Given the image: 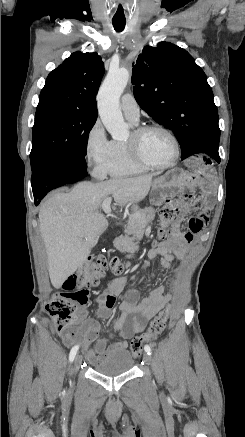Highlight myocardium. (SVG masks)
<instances>
[{"instance_id": "f54148a6", "label": "myocardium", "mask_w": 245, "mask_h": 437, "mask_svg": "<svg viewBox=\"0 0 245 437\" xmlns=\"http://www.w3.org/2000/svg\"><path fill=\"white\" fill-rule=\"evenodd\" d=\"M150 130H159L163 132L168 138L171 140L174 147V155L173 158L165 164H155L145 160L139 152L138 148V140L139 138L146 132ZM127 151L131 159L137 164L146 167L148 169H167L176 164L180 157V144L177 137L174 133L169 130L167 127L160 124H145L140 125L133 129L131 132V138L125 142Z\"/></svg>"}]
</instances>
